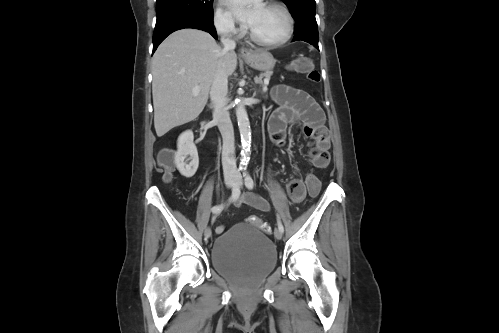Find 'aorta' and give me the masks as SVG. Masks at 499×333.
Instances as JSON below:
<instances>
[{"label":"aorta","instance_id":"1","mask_svg":"<svg viewBox=\"0 0 499 333\" xmlns=\"http://www.w3.org/2000/svg\"><path fill=\"white\" fill-rule=\"evenodd\" d=\"M236 117L238 121L239 132L241 136V165H247L249 160L250 146H251V129L250 122L248 118L247 111L245 106L242 103H238L236 107Z\"/></svg>","mask_w":499,"mask_h":333}]
</instances>
